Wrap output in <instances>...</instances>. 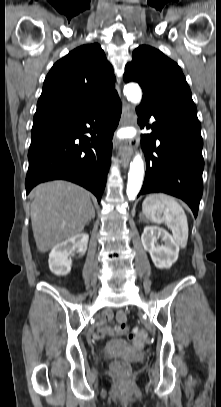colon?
I'll use <instances>...</instances> for the list:
<instances>
[{"label":"colon","mask_w":221,"mask_h":407,"mask_svg":"<svg viewBox=\"0 0 221 407\" xmlns=\"http://www.w3.org/2000/svg\"><path fill=\"white\" fill-rule=\"evenodd\" d=\"M115 321L117 322L118 325H116L113 328L110 327H104L99 330V337L100 338H105L108 335L111 334H127L129 339L132 341V343L137 346V347H143L146 343L147 340V335L144 332H134V333H128V329L126 326V311L125 310H120L119 313L115 314ZM111 369L113 373L120 379V380H125L129 373H130V367L127 363L123 361L116 360L112 363Z\"/></svg>","instance_id":"colon-1"}]
</instances>
